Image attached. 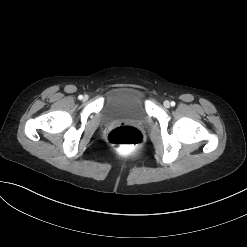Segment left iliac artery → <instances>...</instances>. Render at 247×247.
<instances>
[{
	"instance_id": "left-iliac-artery-1",
	"label": "left iliac artery",
	"mask_w": 247,
	"mask_h": 247,
	"mask_svg": "<svg viewBox=\"0 0 247 247\" xmlns=\"http://www.w3.org/2000/svg\"><path fill=\"white\" fill-rule=\"evenodd\" d=\"M171 106H175V102L174 101L171 102Z\"/></svg>"
}]
</instances>
